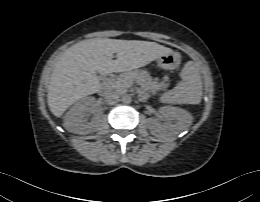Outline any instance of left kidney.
Returning a JSON list of instances; mask_svg holds the SVG:
<instances>
[{"instance_id": "left-kidney-1", "label": "left kidney", "mask_w": 260, "mask_h": 202, "mask_svg": "<svg viewBox=\"0 0 260 202\" xmlns=\"http://www.w3.org/2000/svg\"><path fill=\"white\" fill-rule=\"evenodd\" d=\"M161 119L166 121H176L175 125L173 124H161L157 118H149L148 126L152 135L156 137H166L170 135H177L183 131L191 120V115L180 108L165 106L159 109Z\"/></svg>"}]
</instances>
